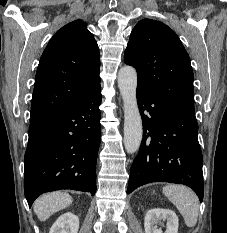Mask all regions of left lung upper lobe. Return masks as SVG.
<instances>
[{
	"label": "left lung upper lobe",
	"mask_w": 227,
	"mask_h": 233,
	"mask_svg": "<svg viewBox=\"0 0 227 233\" xmlns=\"http://www.w3.org/2000/svg\"><path fill=\"white\" fill-rule=\"evenodd\" d=\"M124 61L136 68L137 89L195 113L190 58L178 36L167 25L151 19L137 23L130 35Z\"/></svg>",
	"instance_id": "5c2ea615"
}]
</instances>
